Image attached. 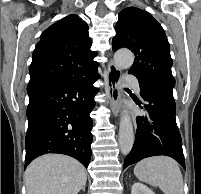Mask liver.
<instances>
[{
	"mask_svg": "<svg viewBox=\"0 0 201 194\" xmlns=\"http://www.w3.org/2000/svg\"><path fill=\"white\" fill-rule=\"evenodd\" d=\"M27 194H77L86 184L85 168L77 160L46 154L32 161L25 171Z\"/></svg>",
	"mask_w": 201,
	"mask_h": 194,
	"instance_id": "6515ba94",
	"label": "liver"
}]
</instances>
